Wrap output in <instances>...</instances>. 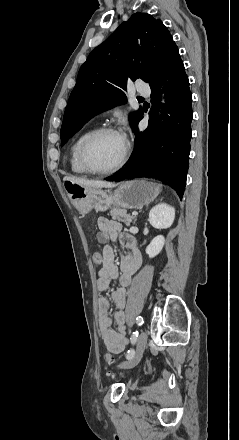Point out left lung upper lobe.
<instances>
[{"mask_svg":"<svg viewBox=\"0 0 239 440\" xmlns=\"http://www.w3.org/2000/svg\"><path fill=\"white\" fill-rule=\"evenodd\" d=\"M175 45L162 21L150 14L138 12L123 22L81 66L65 109L61 143L93 116L124 103L128 80L155 79ZM141 113L130 115L132 127Z\"/></svg>","mask_w":239,"mask_h":440,"instance_id":"left-lung-upper-lobe-1","label":"left lung upper lobe"}]
</instances>
